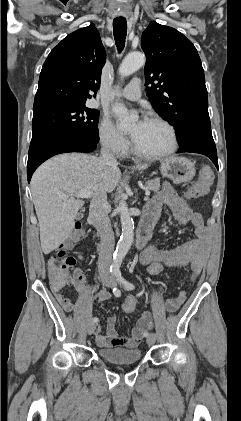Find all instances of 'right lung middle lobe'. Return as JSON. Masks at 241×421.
<instances>
[{"mask_svg": "<svg viewBox=\"0 0 241 421\" xmlns=\"http://www.w3.org/2000/svg\"><path fill=\"white\" fill-rule=\"evenodd\" d=\"M32 140L74 135L98 143L99 111L85 104L53 103L33 108Z\"/></svg>", "mask_w": 241, "mask_h": 421, "instance_id": "dd1d6c3e", "label": "right lung middle lobe"}]
</instances>
